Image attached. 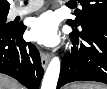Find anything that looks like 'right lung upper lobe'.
Instances as JSON below:
<instances>
[{"label":"right lung upper lobe","instance_id":"1","mask_svg":"<svg viewBox=\"0 0 107 89\" xmlns=\"http://www.w3.org/2000/svg\"><path fill=\"white\" fill-rule=\"evenodd\" d=\"M9 10V3L7 0H0V13L8 12Z\"/></svg>","mask_w":107,"mask_h":89}]
</instances>
